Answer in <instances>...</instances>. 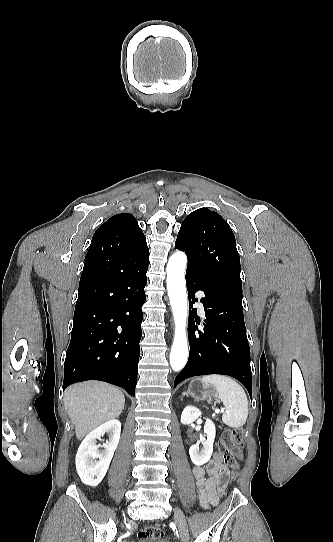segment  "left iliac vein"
I'll return each instance as SVG.
<instances>
[{"label": "left iliac vein", "mask_w": 333, "mask_h": 542, "mask_svg": "<svg viewBox=\"0 0 333 542\" xmlns=\"http://www.w3.org/2000/svg\"><path fill=\"white\" fill-rule=\"evenodd\" d=\"M174 521L177 525L181 539L184 542H186L189 538V532H188L186 520H185L182 510L177 507H175V510H174Z\"/></svg>", "instance_id": "1"}]
</instances>
